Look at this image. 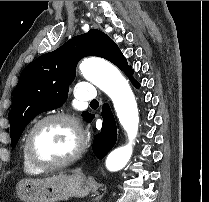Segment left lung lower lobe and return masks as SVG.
I'll return each mask as SVG.
<instances>
[{
  "label": "left lung lower lobe",
  "instance_id": "1",
  "mask_svg": "<svg viewBox=\"0 0 209 202\" xmlns=\"http://www.w3.org/2000/svg\"><path fill=\"white\" fill-rule=\"evenodd\" d=\"M131 68L126 72L131 82L139 88V83L132 77ZM103 124L101 133L97 134L93 140V152L99 158L102 159L113 148L117 140V128L114 116L107 103L102 107Z\"/></svg>",
  "mask_w": 209,
  "mask_h": 202
}]
</instances>
